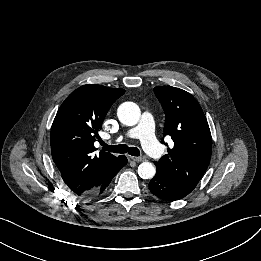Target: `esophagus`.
I'll use <instances>...</instances> for the list:
<instances>
[{
    "instance_id": "1",
    "label": "esophagus",
    "mask_w": 261,
    "mask_h": 261,
    "mask_svg": "<svg viewBox=\"0 0 261 261\" xmlns=\"http://www.w3.org/2000/svg\"><path fill=\"white\" fill-rule=\"evenodd\" d=\"M130 159H132L133 161H136V162H142V161H144V158H143V157L131 156Z\"/></svg>"
}]
</instances>
